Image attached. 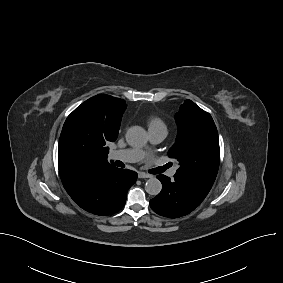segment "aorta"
Returning <instances> with one entry per match:
<instances>
[{"mask_svg":"<svg viewBox=\"0 0 283 283\" xmlns=\"http://www.w3.org/2000/svg\"><path fill=\"white\" fill-rule=\"evenodd\" d=\"M126 141L133 147H142L147 143V133L140 126H132L126 133ZM145 190L150 195H158L162 190V184L157 178H150L145 184Z\"/></svg>","mask_w":283,"mask_h":283,"instance_id":"1","label":"aorta"}]
</instances>
